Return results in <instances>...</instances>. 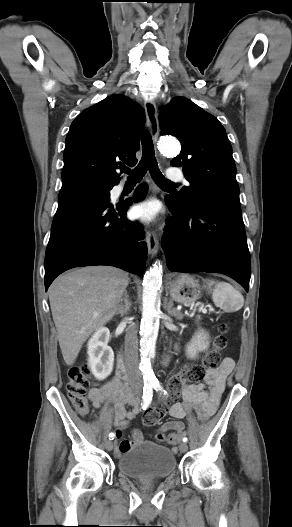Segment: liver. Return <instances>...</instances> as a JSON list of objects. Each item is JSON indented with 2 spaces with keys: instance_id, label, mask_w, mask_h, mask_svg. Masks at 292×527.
Returning <instances> with one entry per match:
<instances>
[{
  "instance_id": "liver-1",
  "label": "liver",
  "mask_w": 292,
  "mask_h": 527,
  "mask_svg": "<svg viewBox=\"0 0 292 527\" xmlns=\"http://www.w3.org/2000/svg\"><path fill=\"white\" fill-rule=\"evenodd\" d=\"M128 274L110 266H90L59 276L49 287L52 317L65 363L75 362L83 343L116 314Z\"/></svg>"
}]
</instances>
